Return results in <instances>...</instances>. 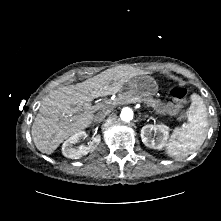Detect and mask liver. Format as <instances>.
Here are the masks:
<instances>
[{
    "instance_id": "liver-1",
    "label": "liver",
    "mask_w": 221,
    "mask_h": 221,
    "mask_svg": "<svg viewBox=\"0 0 221 221\" xmlns=\"http://www.w3.org/2000/svg\"><path fill=\"white\" fill-rule=\"evenodd\" d=\"M137 73L119 67L107 69L76 85L51 91L42 101L31 135L36 148L51 154L69 136L89 127L101 106H91L100 96L119 92Z\"/></svg>"
}]
</instances>
